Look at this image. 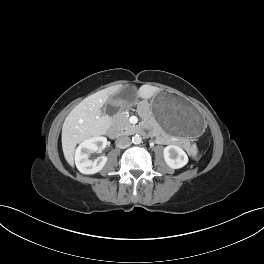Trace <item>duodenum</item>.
<instances>
[{"mask_svg": "<svg viewBox=\"0 0 264 264\" xmlns=\"http://www.w3.org/2000/svg\"><path fill=\"white\" fill-rule=\"evenodd\" d=\"M135 132L136 133L140 132V129H136ZM107 133L112 138L119 136V131L114 127H109L107 130Z\"/></svg>", "mask_w": 264, "mask_h": 264, "instance_id": "1", "label": "duodenum"}]
</instances>
